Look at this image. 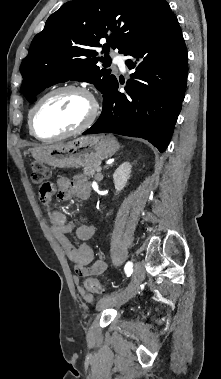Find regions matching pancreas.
I'll use <instances>...</instances> for the list:
<instances>
[{
  "label": "pancreas",
  "mask_w": 221,
  "mask_h": 379,
  "mask_svg": "<svg viewBox=\"0 0 221 379\" xmlns=\"http://www.w3.org/2000/svg\"><path fill=\"white\" fill-rule=\"evenodd\" d=\"M99 164L87 165L84 167V174L89 177H93L95 172H98Z\"/></svg>",
  "instance_id": "cf45deb5"
}]
</instances>
